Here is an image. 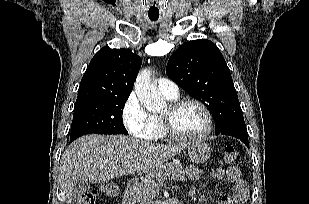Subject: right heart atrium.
Returning a JSON list of instances; mask_svg holds the SVG:
<instances>
[{
    "instance_id": "right-heart-atrium-1",
    "label": "right heart atrium",
    "mask_w": 309,
    "mask_h": 204,
    "mask_svg": "<svg viewBox=\"0 0 309 204\" xmlns=\"http://www.w3.org/2000/svg\"><path fill=\"white\" fill-rule=\"evenodd\" d=\"M122 120L127 131L136 138L152 139L154 125L136 93L132 92L122 107Z\"/></svg>"
}]
</instances>
